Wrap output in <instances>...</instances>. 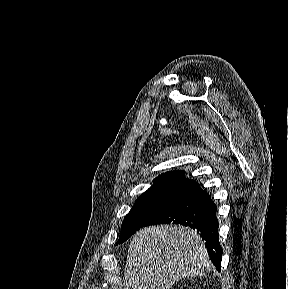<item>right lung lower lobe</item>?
Listing matches in <instances>:
<instances>
[{
  "label": "right lung lower lobe",
  "mask_w": 288,
  "mask_h": 289,
  "mask_svg": "<svg viewBox=\"0 0 288 289\" xmlns=\"http://www.w3.org/2000/svg\"><path fill=\"white\" fill-rule=\"evenodd\" d=\"M164 223L182 224L197 229L205 240L210 259L217 270H220L223 250L218 239L216 205L199 184L188 190L180 201L145 226Z\"/></svg>",
  "instance_id": "obj_1"
}]
</instances>
